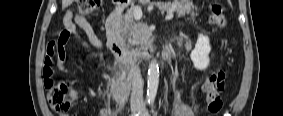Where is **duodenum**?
I'll use <instances>...</instances> for the list:
<instances>
[{
  "instance_id": "410a0bca",
  "label": "duodenum",
  "mask_w": 283,
  "mask_h": 116,
  "mask_svg": "<svg viewBox=\"0 0 283 116\" xmlns=\"http://www.w3.org/2000/svg\"><path fill=\"white\" fill-rule=\"evenodd\" d=\"M124 9L125 6L123 4L116 5L106 19L105 29L107 35V46L119 62L132 68L136 66L138 62L150 59L153 55V48L146 47L142 50L133 51L123 49L116 37L115 29ZM118 85L123 86L126 89L129 88L131 85V77L127 76L121 78L118 80Z\"/></svg>"
}]
</instances>
